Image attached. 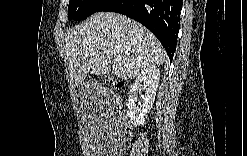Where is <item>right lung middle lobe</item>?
<instances>
[{"mask_svg":"<svg viewBox=\"0 0 247 156\" xmlns=\"http://www.w3.org/2000/svg\"><path fill=\"white\" fill-rule=\"evenodd\" d=\"M107 2V0H70L68 19L84 20L91 16Z\"/></svg>","mask_w":247,"mask_h":156,"instance_id":"1","label":"right lung middle lobe"}]
</instances>
